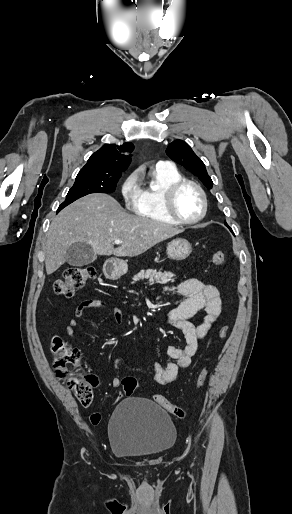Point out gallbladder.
I'll return each mask as SVG.
<instances>
[{"instance_id":"gallbladder-1","label":"gallbladder","mask_w":292,"mask_h":514,"mask_svg":"<svg viewBox=\"0 0 292 514\" xmlns=\"http://www.w3.org/2000/svg\"><path fill=\"white\" fill-rule=\"evenodd\" d=\"M96 258L97 256L93 252V248H91L90 244H86V242H75V244L70 246L66 254V262L70 266H87V264L95 262Z\"/></svg>"}]
</instances>
